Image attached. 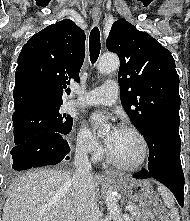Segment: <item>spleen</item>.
Here are the masks:
<instances>
[{
  "instance_id": "obj_1",
  "label": "spleen",
  "mask_w": 190,
  "mask_h": 221,
  "mask_svg": "<svg viewBox=\"0 0 190 221\" xmlns=\"http://www.w3.org/2000/svg\"><path fill=\"white\" fill-rule=\"evenodd\" d=\"M159 194L162 196L165 205L170 208L169 216L170 221H180L179 212L176 208H174V198L173 195L169 192L167 188L162 185H159L157 188Z\"/></svg>"
}]
</instances>
